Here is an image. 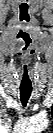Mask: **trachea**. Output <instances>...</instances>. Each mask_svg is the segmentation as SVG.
Here are the masks:
<instances>
[{"label": "trachea", "mask_w": 53, "mask_h": 133, "mask_svg": "<svg viewBox=\"0 0 53 133\" xmlns=\"http://www.w3.org/2000/svg\"><path fill=\"white\" fill-rule=\"evenodd\" d=\"M32 88H20V99L23 106L27 105V102L31 96Z\"/></svg>", "instance_id": "trachea-1"}]
</instances>
